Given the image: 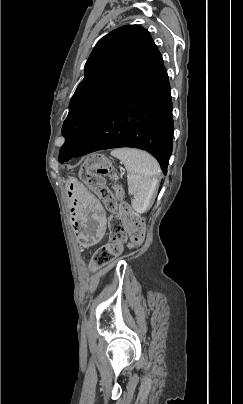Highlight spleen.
<instances>
[{"label": "spleen", "instance_id": "3e777b00", "mask_svg": "<svg viewBox=\"0 0 243 404\" xmlns=\"http://www.w3.org/2000/svg\"><path fill=\"white\" fill-rule=\"evenodd\" d=\"M111 156L123 162L127 170L128 192L134 196L131 206L137 214L150 208L160 176V166L150 154L136 148H116Z\"/></svg>", "mask_w": 243, "mask_h": 404}]
</instances>
